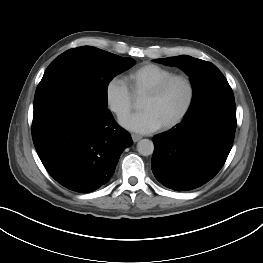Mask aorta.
Segmentation results:
<instances>
[{"label": "aorta", "mask_w": 263, "mask_h": 263, "mask_svg": "<svg viewBox=\"0 0 263 263\" xmlns=\"http://www.w3.org/2000/svg\"><path fill=\"white\" fill-rule=\"evenodd\" d=\"M137 151L143 156L152 155L154 144L149 139H142L137 143Z\"/></svg>", "instance_id": "762f6f07"}]
</instances>
